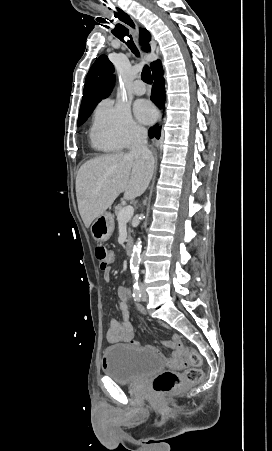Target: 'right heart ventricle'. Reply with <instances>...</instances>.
<instances>
[{"mask_svg":"<svg viewBox=\"0 0 272 451\" xmlns=\"http://www.w3.org/2000/svg\"><path fill=\"white\" fill-rule=\"evenodd\" d=\"M97 145L104 149H112L113 148V146H111V145H104V144H98V143H97Z\"/></svg>","mask_w":272,"mask_h":451,"instance_id":"e07e8e85","label":"right heart ventricle"}]
</instances>
